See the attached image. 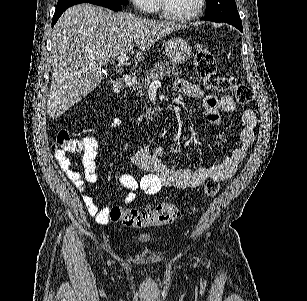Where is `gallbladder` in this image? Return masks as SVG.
I'll return each instance as SVG.
<instances>
[{"label":"gallbladder","instance_id":"1","mask_svg":"<svg viewBox=\"0 0 307 301\" xmlns=\"http://www.w3.org/2000/svg\"><path fill=\"white\" fill-rule=\"evenodd\" d=\"M103 76H105V78H108V76H111V74L110 72H106V70H104Z\"/></svg>","mask_w":307,"mask_h":301}]
</instances>
